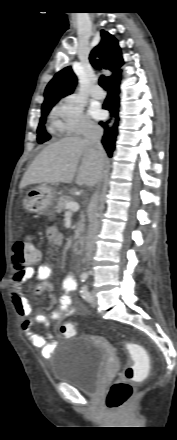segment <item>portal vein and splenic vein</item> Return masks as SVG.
Instances as JSON below:
<instances>
[{"mask_svg":"<svg viewBox=\"0 0 177 440\" xmlns=\"http://www.w3.org/2000/svg\"><path fill=\"white\" fill-rule=\"evenodd\" d=\"M79 204L77 202H70L66 204L65 209H67V213L76 212L79 210Z\"/></svg>","mask_w":177,"mask_h":440,"instance_id":"18ae733b","label":"portal vein and splenic vein"}]
</instances>
